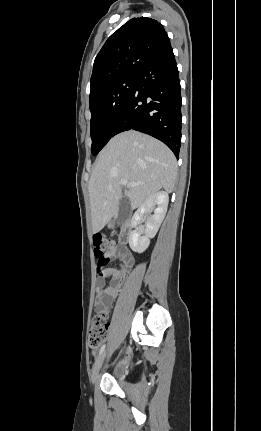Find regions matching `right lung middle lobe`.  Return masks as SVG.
<instances>
[{"label":"right lung middle lobe","instance_id":"right-lung-middle-lobe-1","mask_svg":"<svg viewBox=\"0 0 261 431\" xmlns=\"http://www.w3.org/2000/svg\"><path fill=\"white\" fill-rule=\"evenodd\" d=\"M137 75L125 76L90 92L91 152L97 155L113 137L114 126L132 94Z\"/></svg>","mask_w":261,"mask_h":431}]
</instances>
